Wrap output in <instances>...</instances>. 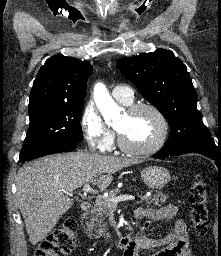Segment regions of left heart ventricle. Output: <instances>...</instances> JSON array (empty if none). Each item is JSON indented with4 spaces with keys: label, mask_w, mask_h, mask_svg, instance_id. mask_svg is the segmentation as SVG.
<instances>
[{
    "label": "left heart ventricle",
    "mask_w": 221,
    "mask_h": 256,
    "mask_svg": "<svg viewBox=\"0 0 221 256\" xmlns=\"http://www.w3.org/2000/svg\"><path fill=\"white\" fill-rule=\"evenodd\" d=\"M116 128L125 142L133 147L149 146L157 139L160 132L157 118L148 110L135 114L126 112Z\"/></svg>",
    "instance_id": "1"
}]
</instances>
